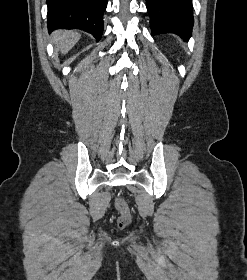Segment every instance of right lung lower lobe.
I'll return each mask as SVG.
<instances>
[{
    "mask_svg": "<svg viewBox=\"0 0 247 280\" xmlns=\"http://www.w3.org/2000/svg\"><path fill=\"white\" fill-rule=\"evenodd\" d=\"M48 30L81 29L97 41L103 33V13L107 0H47Z\"/></svg>",
    "mask_w": 247,
    "mask_h": 280,
    "instance_id": "obj_1",
    "label": "right lung lower lobe"
}]
</instances>
